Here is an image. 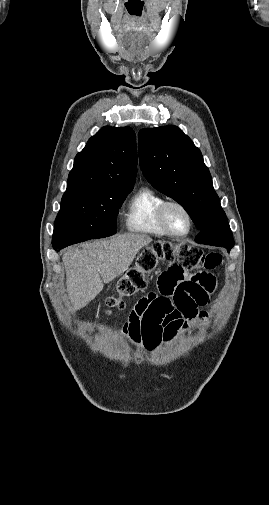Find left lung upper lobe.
I'll return each instance as SVG.
<instances>
[{
    "label": "left lung upper lobe",
    "instance_id": "left-lung-upper-lobe-1",
    "mask_svg": "<svg viewBox=\"0 0 269 505\" xmlns=\"http://www.w3.org/2000/svg\"><path fill=\"white\" fill-rule=\"evenodd\" d=\"M140 167L151 185L173 198L201 231L197 243L233 247V235L200 150L176 126L139 132Z\"/></svg>",
    "mask_w": 269,
    "mask_h": 505
}]
</instances>
